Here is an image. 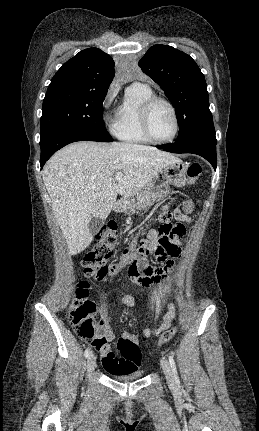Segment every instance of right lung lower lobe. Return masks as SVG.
<instances>
[{"mask_svg":"<svg viewBox=\"0 0 259 431\" xmlns=\"http://www.w3.org/2000/svg\"><path fill=\"white\" fill-rule=\"evenodd\" d=\"M100 141L112 142L113 140L99 136L95 133L85 131L79 128H62L49 133L40 140L41 157L40 166L43 168L46 161L59 149L65 145L76 141Z\"/></svg>","mask_w":259,"mask_h":431,"instance_id":"1","label":"right lung lower lobe"}]
</instances>
